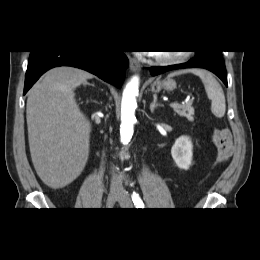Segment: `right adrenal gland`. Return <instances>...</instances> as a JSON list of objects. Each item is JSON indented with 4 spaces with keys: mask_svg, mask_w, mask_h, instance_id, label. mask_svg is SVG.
Listing matches in <instances>:
<instances>
[{
    "mask_svg": "<svg viewBox=\"0 0 260 260\" xmlns=\"http://www.w3.org/2000/svg\"><path fill=\"white\" fill-rule=\"evenodd\" d=\"M84 84L85 85H91V86L95 87V84H90V83H87V82H85Z\"/></svg>",
    "mask_w": 260,
    "mask_h": 260,
    "instance_id": "obj_1",
    "label": "right adrenal gland"
}]
</instances>
